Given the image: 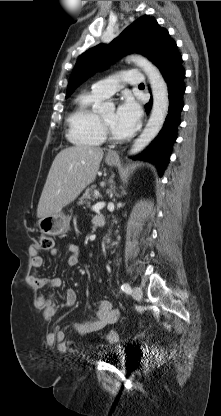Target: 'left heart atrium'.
I'll list each match as a JSON object with an SVG mask.
<instances>
[{
    "label": "left heart atrium",
    "instance_id": "left-heart-atrium-1",
    "mask_svg": "<svg viewBox=\"0 0 221 416\" xmlns=\"http://www.w3.org/2000/svg\"><path fill=\"white\" fill-rule=\"evenodd\" d=\"M140 117L139 105L132 98H126L115 112L116 127L123 136L130 135L138 127Z\"/></svg>",
    "mask_w": 221,
    "mask_h": 416
}]
</instances>
